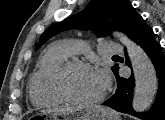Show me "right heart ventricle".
I'll return each mask as SVG.
<instances>
[{"instance_id":"obj_1","label":"right heart ventricle","mask_w":165,"mask_h":120,"mask_svg":"<svg viewBox=\"0 0 165 120\" xmlns=\"http://www.w3.org/2000/svg\"><path fill=\"white\" fill-rule=\"evenodd\" d=\"M66 60L67 55L57 48L50 49L43 55L29 81V95L34 105L45 107L62 102L54 93L51 82L56 69Z\"/></svg>"}]
</instances>
